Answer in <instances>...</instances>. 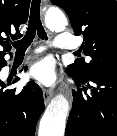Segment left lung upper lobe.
Returning <instances> with one entry per match:
<instances>
[{
	"label": "left lung upper lobe",
	"instance_id": "5c2ea615",
	"mask_svg": "<svg viewBox=\"0 0 117 136\" xmlns=\"http://www.w3.org/2000/svg\"><path fill=\"white\" fill-rule=\"evenodd\" d=\"M69 16L74 34L84 36L83 53L90 62L78 59L67 69L77 79L85 80L97 69L117 67L116 0H51Z\"/></svg>",
	"mask_w": 117,
	"mask_h": 136
}]
</instances>
